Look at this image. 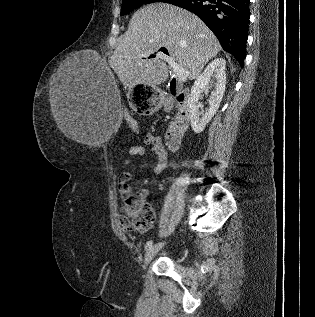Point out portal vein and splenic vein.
Here are the masks:
<instances>
[{
	"label": "portal vein and splenic vein",
	"mask_w": 315,
	"mask_h": 317,
	"mask_svg": "<svg viewBox=\"0 0 315 317\" xmlns=\"http://www.w3.org/2000/svg\"><path fill=\"white\" fill-rule=\"evenodd\" d=\"M165 61L170 65V67L176 74L179 82H182L187 78V76L189 75L188 71L180 67L173 59L165 58Z\"/></svg>",
	"instance_id": "18ae733b"
}]
</instances>
